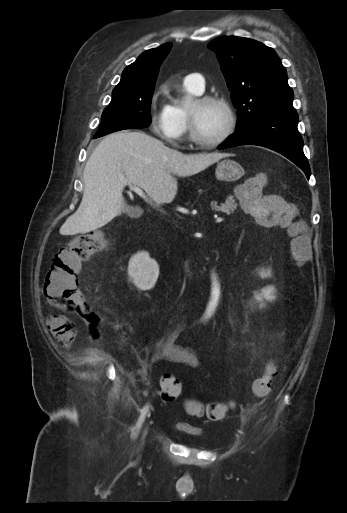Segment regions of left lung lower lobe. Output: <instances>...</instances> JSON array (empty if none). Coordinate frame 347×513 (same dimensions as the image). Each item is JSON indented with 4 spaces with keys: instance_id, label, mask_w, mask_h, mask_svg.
Instances as JSON below:
<instances>
[{
    "instance_id": "1",
    "label": "left lung lower lobe",
    "mask_w": 347,
    "mask_h": 513,
    "mask_svg": "<svg viewBox=\"0 0 347 513\" xmlns=\"http://www.w3.org/2000/svg\"><path fill=\"white\" fill-rule=\"evenodd\" d=\"M297 113H275L253 121L243 130L236 131L219 149L239 145H258L274 150L301 168L310 177V167L303 153V140L298 129Z\"/></svg>"
}]
</instances>
